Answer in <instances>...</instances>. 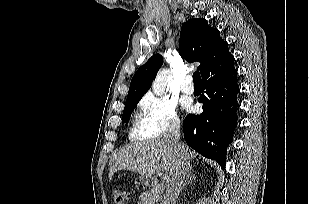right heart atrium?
I'll list each match as a JSON object with an SVG mask.
<instances>
[{
  "label": "right heart atrium",
  "mask_w": 309,
  "mask_h": 204,
  "mask_svg": "<svg viewBox=\"0 0 309 204\" xmlns=\"http://www.w3.org/2000/svg\"><path fill=\"white\" fill-rule=\"evenodd\" d=\"M141 125L137 136L142 138L162 137L177 130L180 119L175 103L155 94H147L140 103Z\"/></svg>",
  "instance_id": "obj_1"
}]
</instances>
